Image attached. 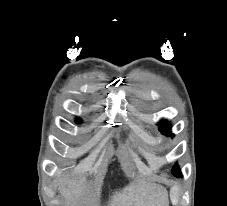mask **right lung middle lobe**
<instances>
[{"label": "right lung middle lobe", "instance_id": "1", "mask_svg": "<svg viewBox=\"0 0 227 206\" xmlns=\"http://www.w3.org/2000/svg\"><path fill=\"white\" fill-rule=\"evenodd\" d=\"M77 121H78V122H81V119H78Z\"/></svg>", "mask_w": 227, "mask_h": 206}]
</instances>
